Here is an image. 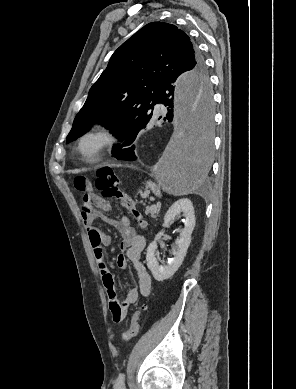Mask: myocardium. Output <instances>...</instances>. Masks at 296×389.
Segmentation results:
<instances>
[{"label":"myocardium","instance_id":"f54148a6","mask_svg":"<svg viewBox=\"0 0 296 389\" xmlns=\"http://www.w3.org/2000/svg\"><path fill=\"white\" fill-rule=\"evenodd\" d=\"M94 142L89 149L88 144ZM116 142L114 131L105 124H98L85 131L78 141V153L87 162H95Z\"/></svg>","mask_w":296,"mask_h":389}]
</instances>
